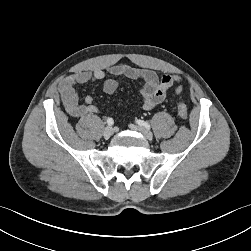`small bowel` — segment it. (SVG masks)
Here are the masks:
<instances>
[{"label": "small bowel", "instance_id": "c3829d8e", "mask_svg": "<svg viewBox=\"0 0 251 251\" xmlns=\"http://www.w3.org/2000/svg\"><path fill=\"white\" fill-rule=\"evenodd\" d=\"M109 74L112 77H107ZM119 77H126L143 82L140 93L143 97L144 110H152L166 97L169 89L179 81L177 76L158 74L150 69H138L128 64H116L109 66L106 71L95 69L93 71H79L65 77L59 84V90L63 105L69 115L75 118L99 113V109L91 96H87L83 104L78 101L76 86L95 81H103V90L107 94H113L118 86ZM181 86L176 91L180 92Z\"/></svg>", "mask_w": 251, "mask_h": 251}]
</instances>
